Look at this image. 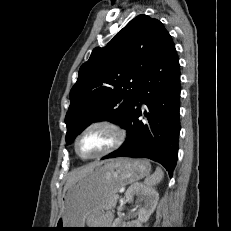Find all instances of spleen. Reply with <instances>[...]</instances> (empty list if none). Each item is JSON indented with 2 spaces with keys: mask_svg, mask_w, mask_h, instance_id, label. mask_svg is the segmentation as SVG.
Here are the masks:
<instances>
[{
  "mask_svg": "<svg viewBox=\"0 0 231 231\" xmlns=\"http://www.w3.org/2000/svg\"><path fill=\"white\" fill-rule=\"evenodd\" d=\"M164 177V172L162 171V169L160 167H157L156 168V171L151 175V176H148L144 183L149 186V187H152V186H155L156 184L160 183L161 180L163 179Z\"/></svg>",
  "mask_w": 231,
  "mask_h": 231,
  "instance_id": "3e777b00",
  "label": "spleen"
}]
</instances>
